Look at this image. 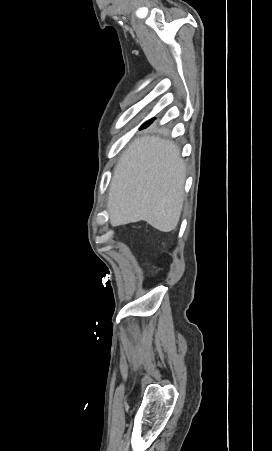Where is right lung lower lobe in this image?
Wrapping results in <instances>:
<instances>
[{"label": "right lung lower lobe", "mask_w": 272, "mask_h": 451, "mask_svg": "<svg viewBox=\"0 0 272 451\" xmlns=\"http://www.w3.org/2000/svg\"><path fill=\"white\" fill-rule=\"evenodd\" d=\"M153 121H154V118L147 121L144 125H142L141 129L148 127Z\"/></svg>", "instance_id": "right-lung-lower-lobe-1"}]
</instances>
